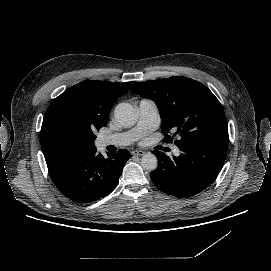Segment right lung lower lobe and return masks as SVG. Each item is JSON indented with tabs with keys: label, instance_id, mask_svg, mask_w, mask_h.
<instances>
[{
	"label": "right lung lower lobe",
	"instance_id": "right-lung-lower-lobe-1",
	"mask_svg": "<svg viewBox=\"0 0 271 271\" xmlns=\"http://www.w3.org/2000/svg\"><path fill=\"white\" fill-rule=\"evenodd\" d=\"M97 148L68 149L45 156L48 171L56 187L69 199L88 203L107 196L117 185L129 151L96 153Z\"/></svg>",
	"mask_w": 271,
	"mask_h": 271
}]
</instances>
